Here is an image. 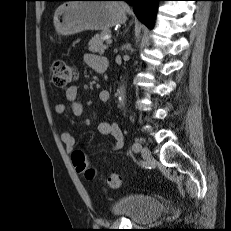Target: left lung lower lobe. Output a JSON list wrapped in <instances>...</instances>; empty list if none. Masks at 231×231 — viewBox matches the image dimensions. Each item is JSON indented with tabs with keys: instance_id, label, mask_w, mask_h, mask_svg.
<instances>
[{
	"instance_id": "0a47b994",
	"label": "left lung lower lobe",
	"mask_w": 231,
	"mask_h": 231,
	"mask_svg": "<svg viewBox=\"0 0 231 231\" xmlns=\"http://www.w3.org/2000/svg\"><path fill=\"white\" fill-rule=\"evenodd\" d=\"M65 1V0H60ZM126 1L133 6L136 16L149 28H152L155 17V5L156 1L164 0H120Z\"/></svg>"
}]
</instances>
